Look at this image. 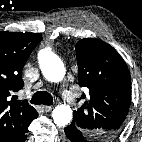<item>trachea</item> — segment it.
Returning <instances> with one entry per match:
<instances>
[{
	"label": "trachea",
	"mask_w": 142,
	"mask_h": 142,
	"mask_svg": "<svg viewBox=\"0 0 142 142\" xmlns=\"http://www.w3.org/2000/svg\"><path fill=\"white\" fill-rule=\"evenodd\" d=\"M30 102L36 105H47L50 106L53 104V97L46 91H38L31 98Z\"/></svg>",
	"instance_id": "1"
}]
</instances>
